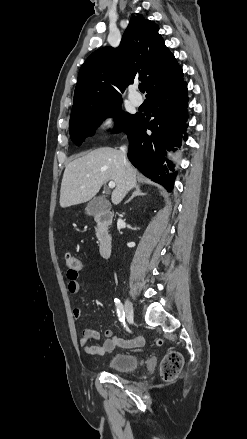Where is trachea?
<instances>
[{"label": "trachea", "instance_id": "obj_1", "mask_svg": "<svg viewBox=\"0 0 247 439\" xmlns=\"http://www.w3.org/2000/svg\"><path fill=\"white\" fill-rule=\"evenodd\" d=\"M139 90L144 93L145 92V86L144 85H139Z\"/></svg>", "mask_w": 247, "mask_h": 439}]
</instances>
